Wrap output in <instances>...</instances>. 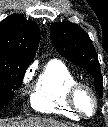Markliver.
Instances as JSON below:
<instances>
[{
	"instance_id": "1",
	"label": "liver",
	"mask_w": 108,
	"mask_h": 127,
	"mask_svg": "<svg viewBox=\"0 0 108 127\" xmlns=\"http://www.w3.org/2000/svg\"><path fill=\"white\" fill-rule=\"evenodd\" d=\"M0 127H69L62 122L50 118L31 117L22 121L0 122Z\"/></svg>"
}]
</instances>
